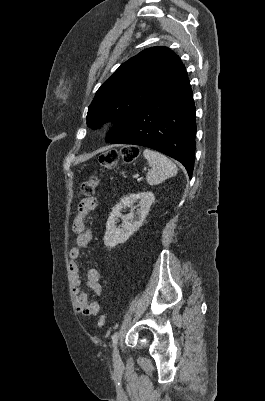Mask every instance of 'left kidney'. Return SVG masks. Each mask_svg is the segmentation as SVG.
I'll return each instance as SVG.
<instances>
[{"label":"left kidney","mask_w":265,"mask_h":401,"mask_svg":"<svg viewBox=\"0 0 265 401\" xmlns=\"http://www.w3.org/2000/svg\"><path fill=\"white\" fill-rule=\"evenodd\" d=\"M154 198L155 196L151 190L123 196L120 203L115 205L106 223V233L103 239L104 245L109 247V249H113L119 243H125L135 231H138L139 227L144 223L152 203H154ZM137 201H140V209H137V213H133L134 209H136V207H133V203H137ZM125 207H131V213H128V215H122L121 213ZM119 217L122 219L120 227H123V229L116 227L115 221H118Z\"/></svg>","instance_id":"1"}]
</instances>
